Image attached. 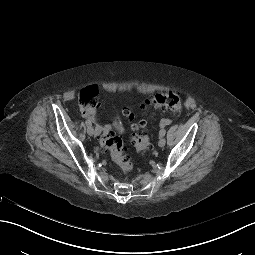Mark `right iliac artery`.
Wrapping results in <instances>:
<instances>
[{"mask_svg": "<svg viewBox=\"0 0 255 255\" xmlns=\"http://www.w3.org/2000/svg\"><path fill=\"white\" fill-rule=\"evenodd\" d=\"M85 123L87 126H91V122L89 120H86Z\"/></svg>", "mask_w": 255, "mask_h": 255, "instance_id": "1", "label": "right iliac artery"}]
</instances>
